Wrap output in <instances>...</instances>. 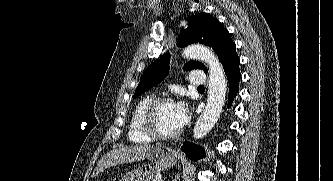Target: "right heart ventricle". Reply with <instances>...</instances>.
<instances>
[{"mask_svg": "<svg viewBox=\"0 0 333 181\" xmlns=\"http://www.w3.org/2000/svg\"><path fill=\"white\" fill-rule=\"evenodd\" d=\"M153 99H155V96L153 94L144 96L138 101L133 110L128 131V138L133 143L148 144L153 140L149 135L145 133L141 123L142 114L147 105Z\"/></svg>", "mask_w": 333, "mask_h": 181, "instance_id": "obj_1", "label": "right heart ventricle"}]
</instances>
